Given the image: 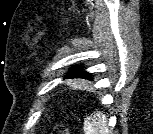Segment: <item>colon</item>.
<instances>
[{"instance_id": "obj_1", "label": "colon", "mask_w": 153, "mask_h": 134, "mask_svg": "<svg viewBox=\"0 0 153 134\" xmlns=\"http://www.w3.org/2000/svg\"><path fill=\"white\" fill-rule=\"evenodd\" d=\"M54 134H68V130L63 126H60L54 131Z\"/></svg>"}]
</instances>
